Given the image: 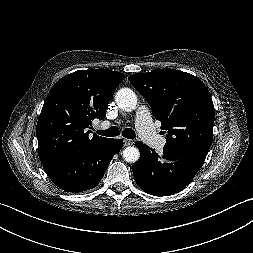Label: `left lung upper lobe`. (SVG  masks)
<instances>
[{"mask_svg":"<svg viewBox=\"0 0 253 253\" xmlns=\"http://www.w3.org/2000/svg\"><path fill=\"white\" fill-rule=\"evenodd\" d=\"M146 99L153 115L167 132L163 150L208 153L213 139L214 105L208 89L197 77L175 69L129 76Z\"/></svg>","mask_w":253,"mask_h":253,"instance_id":"5c2ea615","label":"left lung upper lobe"}]
</instances>
